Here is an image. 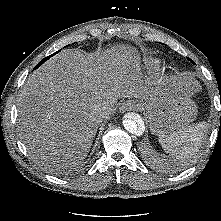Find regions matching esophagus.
<instances>
[{
  "label": "esophagus",
  "mask_w": 221,
  "mask_h": 221,
  "mask_svg": "<svg viewBox=\"0 0 221 221\" xmlns=\"http://www.w3.org/2000/svg\"><path fill=\"white\" fill-rule=\"evenodd\" d=\"M135 107V104L132 101H126L121 104L119 107V111L121 113L131 111Z\"/></svg>",
  "instance_id": "34e87169"
}]
</instances>
